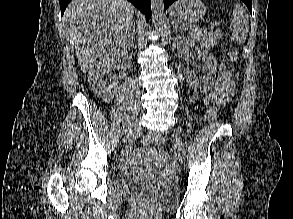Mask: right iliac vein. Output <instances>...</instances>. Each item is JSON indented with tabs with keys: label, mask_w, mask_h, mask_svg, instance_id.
I'll return each instance as SVG.
<instances>
[{
	"label": "right iliac vein",
	"mask_w": 293,
	"mask_h": 219,
	"mask_svg": "<svg viewBox=\"0 0 293 219\" xmlns=\"http://www.w3.org/2000/svg\"><path fill=\"white\" fill-rule=\"evenodd\" d=\"M139 130H140V123H139V122H135V123L131 126V128H130L128 134H127L126 139H130L134 134L138 133Z\"/></svg>",
	"instance_id": "right-iliac-vein-1"
}]
</instances>
